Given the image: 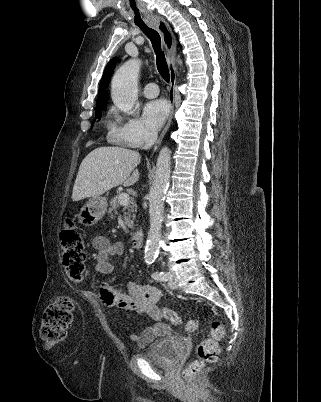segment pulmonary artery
Masks as SVG:
<instances>
[{
  "mask_svg": "<svg viewBox=\"0 0 321 402\" xmlns=\"http://www.w3.org/2000/svg\"><path fill=\"white\" fill-rule=\"evenodd\" d=\"M143 95L147 98H154L159 95V88L155 83H148L143 87Z\"/></svg>",
  "mask_w": 321,
  "mask_h": 402,
  "instance_id": "1",
  "label": "pulmonary artery"
}]
</instances>
